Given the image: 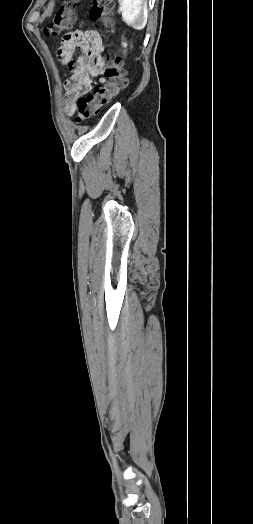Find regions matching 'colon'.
I'll return each mask as SVG.
<instances>
[{
  "mask_svg": "<svg viewBox=\"0 0 253 524\" xmlns=\"http://www.w3.org/2000/svg\"><path fill=\"white\" fill-rule=\"evenodd\" d=\"M77 0H65L52 22L44 28V34L48 38L57 37L69 30L75 20V9ZM114 0H93L89 16L93 21H100L105 31L112 27V9ZM104 76L107 83L97 87L93 94L83 96L77 100L76 109L73 112L77 123L90 119L101 105L106 104L116 97L128 86V79L123 70L122 60L111 55L105 59Z\"/></svg>",
  "mask_w": 253,
  "mask_h": 524,
  "instance_id": "obj_1",
  "label": "colon"
}]
</instances>
